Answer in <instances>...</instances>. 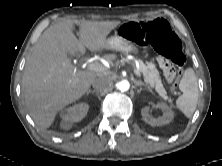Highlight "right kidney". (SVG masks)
I'll return each mask as SVG.
<instances>
[{
    "label": "right kidney",
    "mask_w": 222,
    "mask_h": 166,
    "mask_svg": "<svg viewBox=\"0 0 222 166\" xmlns=\"http://www.w3.org/2000/svg\"><path fill=\"white\" fill-rule=\"evenodd\" d=\"M89 105L87 103H78L71 107L62 109L60 111L61 128L69 130L74 122L81 121L87 114Z\"/></svg>",
    "instance_id": "ca27d5eb"
}]
</instances>
